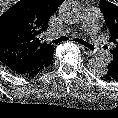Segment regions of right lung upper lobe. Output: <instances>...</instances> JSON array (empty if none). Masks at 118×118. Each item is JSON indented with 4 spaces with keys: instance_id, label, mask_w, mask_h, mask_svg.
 <instances>
[{
    "instance_id": "cb5924a9",
    "label": "right lung upper lobe",
    "mask_w": 118,
    "mask_h": 118,
    "mask_svg": "<svg viewBox=\"0 0 118 118\" xmlns=\"http://www.w3.org/2000/svg\"><path fill=\"white\" fill-rule=\"evenodd\" d=\"M64 0H21L0 16V62H20L40 70L53 60L54 47L42 38Z\"/></svg>"
}]
</instances>
